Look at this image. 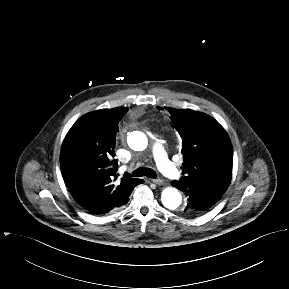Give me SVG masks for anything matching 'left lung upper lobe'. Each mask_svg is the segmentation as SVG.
<instances>
[{
	"label": "left lung upper lobe",
	"instance_id": "left-lung-upper-lobe-1",
	"mask_svg": "<svg viewBox=\"0 0 289 289\" xmlns=\"http://www.w3.org/2000/svg\"><path fill=\"white\" fill-rule=\"evenodd\" d=\"M182 138L183 176L178 183L222 196L232 176L233 149L224 128L205 113L168 108Z\"/></svg>",
	"mask_w": 289,
	"mask_h": 289
}]
</instances>
